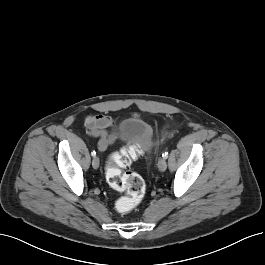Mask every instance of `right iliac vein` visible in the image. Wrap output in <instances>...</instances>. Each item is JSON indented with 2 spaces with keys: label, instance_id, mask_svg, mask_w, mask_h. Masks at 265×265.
I'll return each mask as SVG.
<instances>
[{
  "label": "right iliac vein",
  "instance_id": "1",
  "mask_svg": "<svg viewBox=\"0 0 265 265\" xmlns=\"http://www.w3.org/2000/svg\"><path fill=\"white\" fill-rule=\"evenodd\" d=\"M100 165V161L99 158L94 156L93 160H92V166L94 169H97Z\"/></svg>",
  "mask_w": 265,
  "mask_h": 265
}]
</instances>
